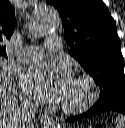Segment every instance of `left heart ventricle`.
I'll return each mask as SVG.
<instances>
[{
  "label": "left heart ventricle",
  "instance_id": "obj_1",
  "mask_svg": "<svg viewBox=\"0 0 125 128\" xmlns=\"http://www.w3.org/2000/svg\"><path fill=\"white\" fill-rule=\"evenodd\" d=\"M83 93H84L83 87H81L79 85H76L73 82V84L71 86V89H70L65 101H67V102H76L83 96Z\"/></svg>",
  "mask_w": 125,
  "mask_h": 128
}]
</instances>
